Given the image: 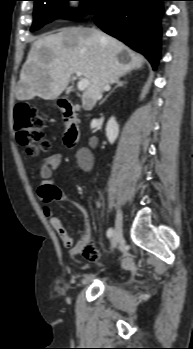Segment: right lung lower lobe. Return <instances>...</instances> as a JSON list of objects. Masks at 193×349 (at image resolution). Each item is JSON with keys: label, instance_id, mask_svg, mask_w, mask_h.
Returning <instances> with one entry per match:
<instances>
[{"label": "right lung lower lobe", "instance_id": "1", "mask_svg": "<svg viewBox=\"0 0 193 349\" xmlns=\"http://www.w3.org/2000/svg\"><path fill=\"white\" fill-rule=\"evenodd\" d=\"M166 0H99L90 14L107 34L142 53L156 69L160 58L162 3Z\"/></svg>", "mask_w": 193, "mask_h": 349}]
</instances>
